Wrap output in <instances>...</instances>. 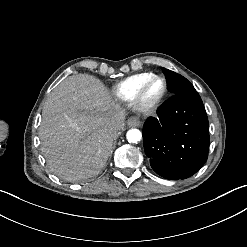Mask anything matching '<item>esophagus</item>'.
Here are the masks:
<instances>
[{
    "mask_svg": "<svg viewBox=\"0 0 247 247\" xmlns=\"http://www.w3.org/2000/svg\"><path fill=\"white\" fill-rule=\"evenodd\" d=\"M127 124H128V126H130V127H138V126H140L141 122H140L139 117H137V116H132V117H130V118L127 120Z\"/></svg>",
    "mask_w": 247,
    "mask_h": 247,
    "instance_id": "esophagus-1",
    "label": "esophagus"
}]
</instances>
